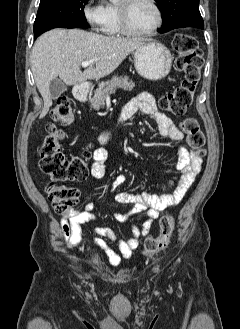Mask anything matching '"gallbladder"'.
I'll return each instance as SVG.
<instances>
[{
    "instance_id": "obj_1",
    "label": "gallbladder",
    "mask_w": 240,
    "mask_h": 329,
    "mask_svg": "<svg viewBox=\"0 0 240 329\" xmlns=\"http://www.w3.org/2000/svg\"><path fill=\"white\" fill-rule=\"evenodd\" d=\"M67 89V85L59 78L53 79L49 84V92L52 99H57Z\"/></svg>"
}]
</instances>
